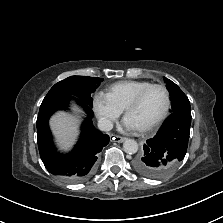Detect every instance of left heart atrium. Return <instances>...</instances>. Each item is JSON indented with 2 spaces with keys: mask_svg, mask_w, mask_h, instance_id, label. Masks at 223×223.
I'll return each instance as SVG.
<instances>
[{
  "mask_svg": "<svg viewBox=\"0 0 223 223\" xmlns=\"http://www.w3.org/2000/svg\"><path fill=\"white\" fill-rule=\"evenodd\" d=\"M122 128L128 131L135 129V127L131 124V122L126 117L122 122Z\"/></svg>",
  "mask_w": 223,
  "mask_h": 223,
  "instance_id": "obj_1",
  "label": "left heart atrium"
}]
</instances>
